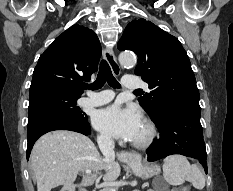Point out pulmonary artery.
<instances>
[{
    "label": "pulmonary artery",
    "instance_id": "e3ab8cb5",
    "mask_svg": "<svg viewBox=\"0 0 233 191\" xmlns=\"http://www.w3.org/2000/svg\"><path fill=\"white\" fill-rule=\"evenodd\" d=\"M122 84L127 89H136L140 87H147V85L142 82L138 77L133 75H126ZM114 97V93L111 90H103L100 92L88 91L86 96L79 99V104L82 106L96 107L104 105L110 102Z\"/></svg>",
    "mask_w": 233,
    "mask_h": 191
}]
</instances>
